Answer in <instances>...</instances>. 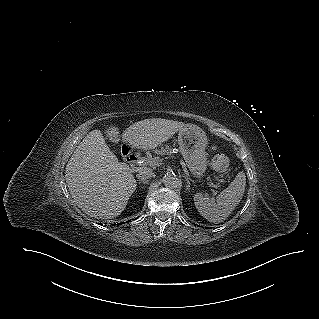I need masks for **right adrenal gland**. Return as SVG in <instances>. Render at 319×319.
Listing matches in <instances>:
<instances>
[{"label":"right adrenal gland","instance_id":"2a0ac1e0","mask_svg":"<svg viewBox=\"0 0 319 319\" xmlns=\"http://www.w3.org/2000/svg\"><path fill=\"white\" fill-rule=\"evenodd\" d=\"M141 183L147 184V183H148V180H146V179L139 180L138 184H141Z\"/></svg>","mask_w":319,"mask_h":319}]
</instances>
